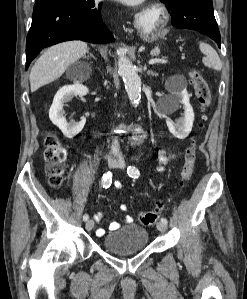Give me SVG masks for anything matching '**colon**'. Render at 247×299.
Returning a JSON list of instances; mask_svg holds the SVG:
<instances>
[{
	"label": "colon",
	"instance_id": "colon-1",
	"mask_svg": "<svg viewBox=\"0 0 247 299\" xmlns=\"http://www.w3.org/2000/svg\"><path fill=\"white\" fill-rule=\"evenodd\" d=\"M191 83L194 87L195 94L200 105L201 111L205 112L211 104V92L209 86L202 75L196 69H192L189 72ZM205 116H202V120ZM66 157V151L60 143L59 139L49 134L45 138V170L49 177L50 184L53 187H59L64 181V167L63 161ZM196 160V145L191 142L185 150L184 164L181 168V185H186L190 180ZM121 188V184H120ZM163 208V203L158 202L154 205L152 210L141 212L138 219L141 224L149 226L153 225L159 217V213Z\"/></svg>",
	"mask_w": 247,
	"mask_h": 299
}]
</instances>
